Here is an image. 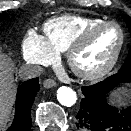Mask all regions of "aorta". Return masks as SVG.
Segmentation results:
<instances>
[{"label": "aorta", "mask_w": 131, "mask_h": 131, "mask_svg": "<svg viewBox=\"0 0 131 131\" xmlns=\"http://www.w3.org/2000/svg\"><path fill=\"white\" fill-rule=\"evenodd\" d=\"M57 100L61 105L71 107L77 101L76 92L70 87L62 86L57 90Z\"/></svg>", "instance_id": "1"}]
</instances>
